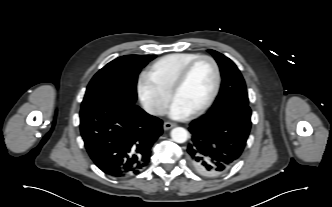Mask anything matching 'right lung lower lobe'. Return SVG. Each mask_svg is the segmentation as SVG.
I'll return each instance as SVG.
<instances>
[{
  "label": "right lung lower lobe",
  "instance_id": "98d812e1",
  "mask_svg": "<svg viewBox=\"0 0 332 207\" xmlns=\"http://www.w3.org/2000/svg\"><path fill=\"white\" fill-rule=\"evenodd\" d=\"M162 125L159 118L122 101L102 102L80 111L86 150L97 167L113 177L138 174L148 165Z\"/></svg>",
  "mask_w": 332,
  "mask_h": 207
}]
</instances>
